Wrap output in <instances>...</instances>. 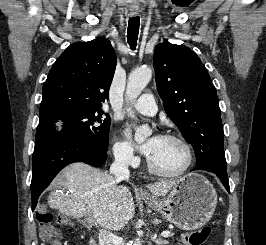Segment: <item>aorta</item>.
Here are the masks:
<instances>
[{
  "label": "aorta",
  "instance_id": "762f6f07",
  "mask_svg": "<svg viewBox=\"0 0 266 245\" xmlns=\"http://www.w3.org/2000/svg\"><path fill=\"white\" fill-rule=\"evenodd\" d=\"M151 76L152 70L149 66H141V68H135V70H132L128 76L125 90L127 100H134V98H137V96L141 94L143 88H145L146 84L150 82ZM126 110H128L130 116H134L133 110L130 106H128ZM149 135H151L149 127H138L135 133L136 143L141 145V143H144L146 137H149ZM133 245H142L141 239H135Z\"/></svg>",
  "mask_w": 266,
  "mask_h": 245
}]
</instances>
